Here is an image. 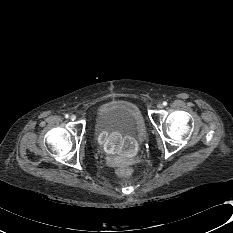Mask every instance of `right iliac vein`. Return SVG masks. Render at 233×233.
Returning a JSON list of instances; mask_svg holds the SVG:
<instances>
[{
  "instance_id": "1",
  "label": "right iliac vein",
  "mask_w": 233,
  "mask_h": 233,
  "mask_svg": "<svg viewBox=\"0 0 233 233\" xmlns=\"http://www.w3.org/2000/svg\"><path fill=\"white\" fill-rule=\"evenodd\" d=\"M70 119H71V120H75V119H76V116L72 114V115L70 116Z\"/></svg>"
}]
</instances>
